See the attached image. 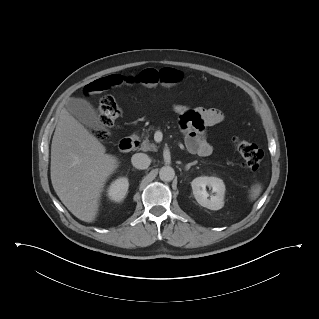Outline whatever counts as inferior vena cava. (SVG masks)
Returning <instances> with one entry per match:
<instances>
[{
    "label": "inferior vena cava",
    "instance_id": "1",
    "mask_svg": "<svg viewBox=\"0 0 319 319\" xmlns=\"http://www.w3.org/2000/svg\"><path fill=\"white\" fill-rule=\"evenodd\" d=\"M132 165L137 169H147L151 159L144 153H136L131 158Z\"/></svg>",
    "mask_w": 319,
    "mask_h": 319
}]
</instances>
